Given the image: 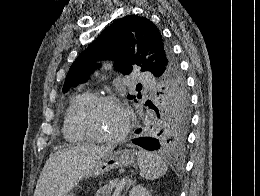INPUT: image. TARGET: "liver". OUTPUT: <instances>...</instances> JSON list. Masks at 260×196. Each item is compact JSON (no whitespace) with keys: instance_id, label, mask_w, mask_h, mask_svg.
<instances>
[{"instance_id":"1","label":"liver","mask_w":260,"mask_h":196,"mask_svg":"<svg viewBox=\"0 0 260 196\" xmlns=\"http://www.w3.org/2000/svg\"><path fill=\"white\" fill-rule=\"evenodd\" d=\"M113 146H73L51 154L37 182L34 196H65L81 178H86Z\"/></svg>"}]
</instances>
